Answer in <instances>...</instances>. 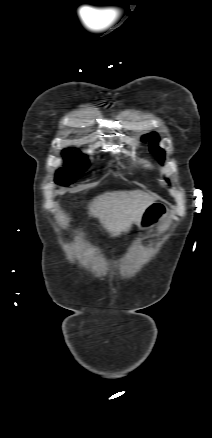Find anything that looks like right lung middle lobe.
I'll return each mask as SVG.
<instances>
[{"label": "right lung middle lobe", "mask_w": 212, "mask_h": 438, "mask_svg": "<svg viewBox=\"0 0 212 438\" xmlns=\"http://www.w3.org/2000/svg\"><path fill=\"white\" fill-rule=\"evenodd\" d=\"M63 155L68 166L57 171L55 180L62 186H68L87 168L88 162L78 151L66 149Z\"/></svg>", "instance_id": "right-lung-middle-lobe-1"}]
</instances>
